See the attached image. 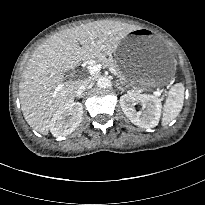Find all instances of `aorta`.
<instances>
[{
	"label": "aorta",
	"instance_id": "obj_1",
	"mask_svg": "<svg viewBox=\"0 0 205 205\" xmlns=\"http://www.w3.org/2000/svg\"><path fill=\"white\" fill-rule=\"evenodd\" d=\"M97 85L100 88H108L111 85V82L108 78L106 77H99L97 79Z\"/></svg>",
	"mask_w": 205,
	"mask_h": 205
}]
</instances>
